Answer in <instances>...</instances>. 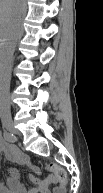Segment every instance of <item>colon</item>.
<instances>
[{
	"instance_id": "1",
	"label": "colon",
	"mask_w": 103,
	"mask_h": 193,
	"mask_svg": "<svg viewBox=\"0 0 103 193\" xmlns=\"http://www.w3.org/2000/svg\"><path fill=\"white\" fill-rule=\"evenodd\" d=\"M48 170L52 172L56 178L62 183L65 184L67 181V174L65 170L55 164L48 165Z\"/></svg>"
}]
</instances>
